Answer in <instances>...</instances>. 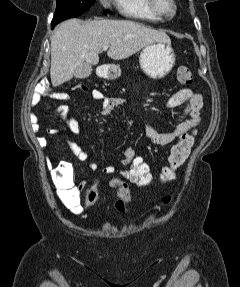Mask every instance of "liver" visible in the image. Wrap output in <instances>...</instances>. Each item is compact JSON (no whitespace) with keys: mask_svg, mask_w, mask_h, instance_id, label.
<instances>
[{"mask_svg":"<svg viewBox=\"0 0 240 287\" xmlns=\"http://www.w3.org/2000/svg\"><path fill=\"white\" fill-rule=\"evenodd\" d=\"M155 42L171 43L164 31L135 21H64L56 28L51 39L52 86L56 87L71 80L76 68L83 63L97 65L99 53L105 45L109 46L108 57L121 60Z\"/></svg>","mask_w":240,"mask_h":287,"instance_id":"liver-1","label":"liver"}]
</instances>
